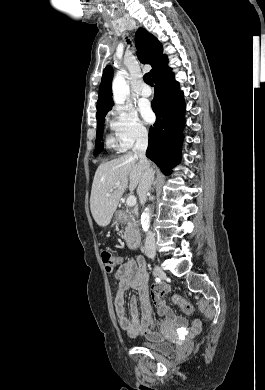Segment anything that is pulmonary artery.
I'll return each instance as SVG.
<instances>
[{
  "label": "pulmonary artery",
  "mask_w": 265,
  "mask_h": 390,
  "mask_svg": "<svg viewBox=\"0 0 265 390\" xmlns=\"http://www.w3.org/2000/svg\"><path fill=\"white\" fill-rule=\"evenodd\" d=\"M139 95L146 98L151 95V89L146 84H142L138 89Z\"/></svg>",
  "instance_id": "obj_1"
}]
</instances>
